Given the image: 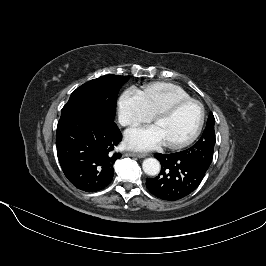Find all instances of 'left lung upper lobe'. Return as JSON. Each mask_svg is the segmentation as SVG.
Wrapping results in <instances>:
<instances>
[{
	"instance_id": "5c2ea615",
	"label": "left lung upper lobe",
	"mask_w": 266,
	"mask_h": 266,
	"mask_svg": "<svg viewBox=\"0 0 266 266\" xmlns=\"http://www.w3.org/2000/svg\"><path fill=\"white\" fill-rule=\"evenodd\" d=\"M214 123V116L210 113L206 128L198 142L187 150L179 152L183 158L194 162L206 171L209 168L213 157L215 145Z\"/></svg>"
}]
</instances>
